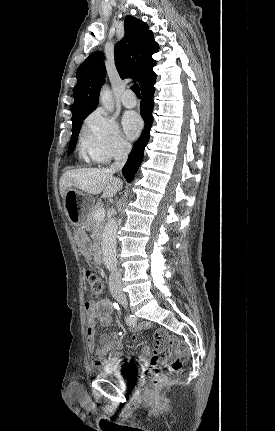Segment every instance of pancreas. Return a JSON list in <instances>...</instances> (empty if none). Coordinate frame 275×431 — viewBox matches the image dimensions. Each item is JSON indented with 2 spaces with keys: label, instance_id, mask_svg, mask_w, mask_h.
Here are the masks:
<instances>
[{
  "label": "pancreas",
  "instance_id": "pancreas-1",
  "mask_svg": "<svg viewBox=\"0 0 275 431\" xmlns=\"http://www.w3.org/2000/svg\"><path fill=\"white\" fill-rule=\"evenodd\" d=\"M102 207L101 201H98L89 211L86 226L92 230V238L94 240V245H97L101 240V234L103 230L104 220H96L94 218V213L98 208Z\"/></svg>",
  "mask_w": 275,
  "mask_h": 431
}]
</instances>
